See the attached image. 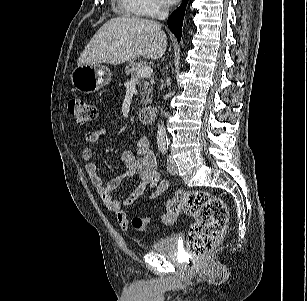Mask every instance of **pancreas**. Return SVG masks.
I'll use <instances>...</instances> for the list:
<instances>
[{
    "mask_svg": "<svg viewBox=\"0 0 307 301\" xmlns=\"http://www.w3.org/2000/svg\"><path fill=\"white\" fill-rule=\"evenodd\" d=\"M147 67V63L141 60L138 61H130L127 67L125 68V73L128 77L134 78L136 77V73L139 69ZM152 84L153 80L150 82L146 80H141V78H137V85L140 89L141 99L140 104L147 105L151 102V94H152Z\"/></svg>",
    "mask_w": 307,
    "mask_h": 301,
    "instance_id": "1",
    "label": "pancreas"
}]
</instances>
